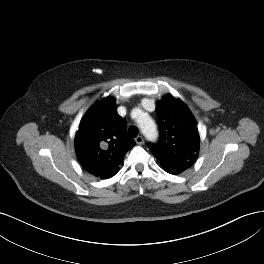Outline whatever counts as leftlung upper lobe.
I'll use <instances>...</instances> for the list:
<instances>
[{
  "instance_id": "obj_1",
  "label": "left lung upper lobe",
  "mask_w": 264,
  "mask_h": 264,
  "mask_svg": "<svg viewBox=\"0 0 264 264\" xmlns=\"http://www.w3.org/2000/svg\"><path fill=\"white\" fill-rule=\"evenodd\" d=\"M156 112L160 140L149 147L166 172L179 174L197 159L200 142L197 123L186 105L171 95L157 103Z\"/></svg>"
}]
</instances>
